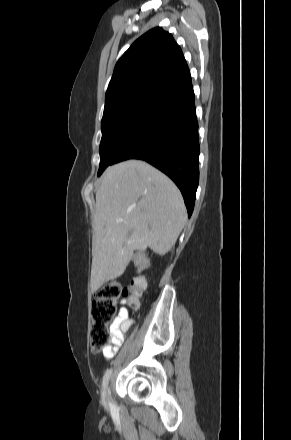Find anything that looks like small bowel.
<instances>
[{
    "mask_svg": "<svg viewBox=\"0 0 291 440\" xmlns=\"http://www.w3.org/2000/svg\"><path fill=\"white\" fill-rule=\"evenodd\" d=\"M133 325L134 319L129 317L127 308L122 305L118 315L109 327L111 343L103 351L105 358L110 359L114 356L118 346H120L123 342L124 333L127 332Z\"/></svg>",
    "mask_w": 291,
    "mask_h": 440,
    "instance_id": "obj_1",
    "label": "small bowel"
}]
</instances>
